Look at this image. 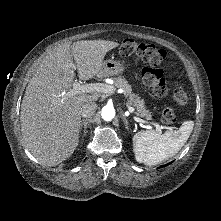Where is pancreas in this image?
Listing matches in <instances>:
<instances>
[{"label": "pancreas", "instance_id": "1", "mask_svg": "<svg viewBox=\"0 0 221 221\" xmlns=\"http://www.w3.org/2000/svg\"><path fill=\"white\" fill-rule=\"evenodd\" d=\"M106 86H110V85H106ZM110 87H112L113 90H115V87L121 88L123 90L124 95L128 97L129 99L127 106L135 107L137 110L138 116L144 117L147 120H150L152 118L151 112L147 110L144 101L140 99V97H138L137 95L132 94V88L128 84L125 78H122V77L116 78L114 86H110Z\"/></svg>", "mask_w": 221, "mask_h": 221}]
</instances>
